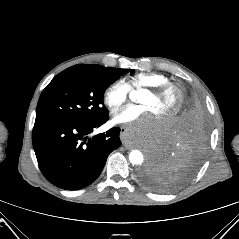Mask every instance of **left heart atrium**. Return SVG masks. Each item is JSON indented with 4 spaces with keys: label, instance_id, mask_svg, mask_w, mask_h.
Returning a JSON list of instances; mask_svg holds the SVG:
<instances>
[{
    "label": "left heart atrium",
    "instance_id": "1",
    "mask_svg": "<svg viewBox=\"0 0 239 239\" xmlns=\"http://www.w3.org/2000/svg\"><path fill=\"white\" fill-rule=\"evenodd\" d=\"M156 117L154 111L147 105H130L117 112L113 121L116 124L128 125L130 127V138L135 141L137 136L145 135L155 129ZM134 122L136 123L134 124Z\"/></svg>",
    "mask_w": 239,
    "mask_h": 239
}]
</instances>
